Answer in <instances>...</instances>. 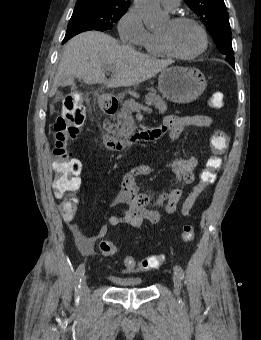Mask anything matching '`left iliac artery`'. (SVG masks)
I'll list each match as a JSON object with an SVG mask.
<instances>
[{
  "instance_id": "44dca946",
  "label": "left iliac artery",
  "mask_w": 261,
  "mask_h": 340,
  "mask_svg": "<svg viewBox=\"0 0 261 340\" xmlns=\"http://www.w3.org/2000/svg\"><path fill=\"white\" fill-rule=\"evenodd\" d=\"M174 272L180 277V279H184V271L181 266L175 265L174 266Z\"/></svg>"
}]
</instances>
